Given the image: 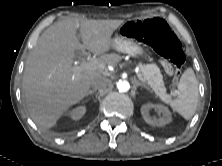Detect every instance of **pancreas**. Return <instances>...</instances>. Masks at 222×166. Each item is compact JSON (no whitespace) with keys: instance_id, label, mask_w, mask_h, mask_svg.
I'll list each match as a JSON object with an SVG mask.
<instances>
[{"instance_id":"obj_1","label":"pancreas","mask_w":222,"mask_h":166,"mask_svg":"<svg viewBox=\"0 0 222 166\" xmlns=\"http://www.w3.org/2000/svg\"><path fill=\"white\" fill-rule=\"evenodd\" d=\"M141 75L144 77L146 84L152 91L164 102L168 103L171 96L166 93L163 76L160 68L156 64L139 65Z\"/></svg>"}]
</instances>
